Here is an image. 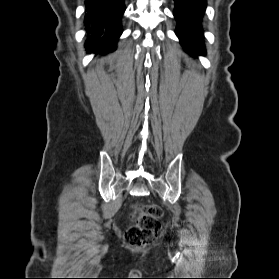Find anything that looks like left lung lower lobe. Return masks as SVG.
Returning a JSON list of instances; mask_svg holds the SVG:
<instances>
[{"mask_svg": "<svg viewBox=\"0 0 279 279\" xmlns=\"http://www.w3.org/2000/svg\"><path fill=\"white\" fill-rule=\"evenodd\" d=\"M176 35L190 54H204L203 31L200 25L206 8V0H174Z\"/></svg>", "mask_w": 279, "mask_h": 279, "instance_id": "0a47b994", "label": "left lung lower lobe"}]
</instances>
